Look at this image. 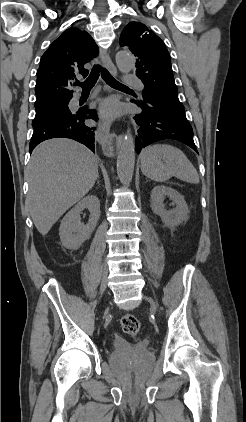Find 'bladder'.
I'll return each mask as SVG.
<instances>
[{"label":"bladder","mask_w":246,"mask_h":422,"mask_svg":"<svg viewBox=\"0 0 246 422\" xmlns=\"http://www.w3.org/2000/svg\"><path fill=\"white\" fill-rule=\"evenodd\" d=\"M125 349H116L111 355V361L115 362L119 359ZM131 355H133L134 359L143 365H151L154 362V355L148 351L140 350V351H130Z\"/></svg>","instance_id":"1"}]
</instances>
